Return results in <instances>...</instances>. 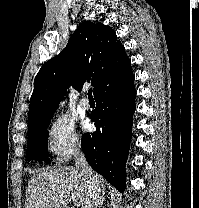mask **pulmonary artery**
I'll list each match as a JSON object with an SVG mask.
<instances>
[{
  "label": "pulmonary artery",
  "mask_w": 199,
  "mask_h": 208,
  "mask_svg": "<svg viewBox=\"0 0 199 208\" xmlns=\"http://www.w3.org/2000/svg\"><path fill=\"white\" fill-rule=\"evenodd\" d=\"M80 107L83 109V110H87L90 108V102L88 100V98L86 96H83L81 99H80Z\"/></svg>",
  "instance_id": "e3ab8cb5"
}]
</instances>
